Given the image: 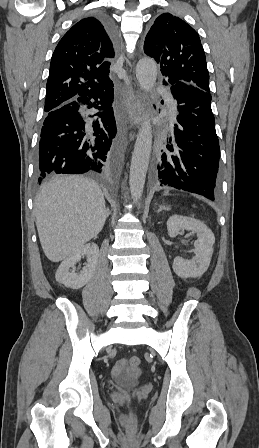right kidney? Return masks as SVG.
Listing matches in <instances>:
<instances>
[{"mask_svg":"<svg viewBox=\"0 0 259 448\" xmlns=\"http://www.w3.org/2000/svg\"><path fill=\"white\" fill-rule=\"evenodd\" d=\"M82 256H86L87 264H85L79 274H75L73 270L71 272L70 268H74L76 262H80ZM98 258L99 248L97 244H85V246H81V248L72 252L71 256H68L60 264L55 276L57 282L64 284L66 288H72V290L83 288L91 280L93 274H95Z\"/></svg>","mask_w":259,"mask_h":448,"instance_id":"1","label":"right kidney"}]
</instances>
